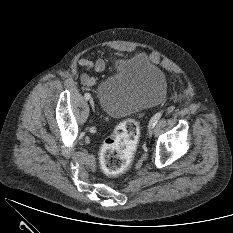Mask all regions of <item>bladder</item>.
<instances>
[{
	"label": "bladder",
	"instance_id": "obj_1",
	"mask_svg": "<svg viewBox=\"0 0 233 233\" xmlns=\"http://www.w3.org/2000/svg\"><path fill=\"white\" fill-rule=\"evenodd\" d=\"M168 90L163 71L143 54L120 60L117 71L97 87L108 116L123 118L160 104Z\"/></svg>",
	"mask_w": 233,
	"mask_h": 233
}]
</instances>
